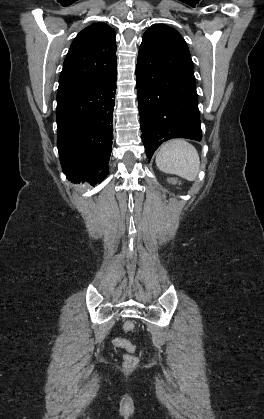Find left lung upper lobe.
<instances>
[{"label":"left lung upper lobe","instance_id":"obj_1","mask_svg":"<svg viewBox=\"0 0 264 419\" xmlns=\"http://www.w3.org/2000/svg\"><path fill=\"white\" fill-rule=\"evenodd\" d=\"M166 39L170 44L174 54L183 60L185 71L193 75V62L189 49L182 36L173 28L163 24H156L150 27L143 35V40Z\"/></svg>","mask_w":264,"mask_h":419}]
</instances>
